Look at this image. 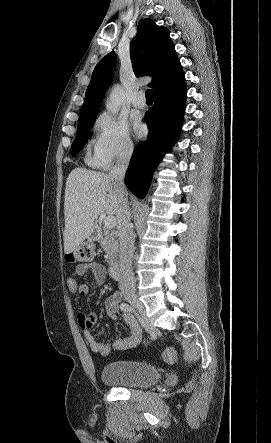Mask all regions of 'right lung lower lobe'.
<instances>
[{
  "instance_id": "right-lung-lower-lobe-1",
  "label": "right lung lower lobe",
  "mask_w": 271,
  "mask_h": 443,
  "mask_svg": "<svg viewBox=\"0 0 271 443\" xmlns=\"http://www.w3.org/2000/svg\"><path fill=\"white\" fill-rule=\"evenodd\" d=\"M186 92L184 77L153 93L154 105L144 118L149 127L147 140L139 142L135 147L125 175L128 189L139 198L146 195L155 168L179 137Z\"/></svg>"
}]
</instances>
